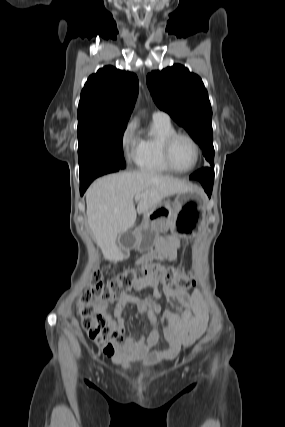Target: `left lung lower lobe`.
Returning <instances> with one entry per match:
<instances>
[{
  "instance_id": "0a47b994",
  "label": "left lung lower lobe",
  "mask_w": 285,
  "mask_h": 427,
  "mask_svg": "<svg viewBox=\"0 0 285 427\" xmlns=\"http://www.w3.org/2000/svg\"><path fill=\"white\" fill-rule=\"evenodd\" d=\"M212 168H202L192 175H190L189 179L191 180H199L204 187V190L211 196L213 181H214V164H211Z\"/></svg>"
}]
</instances>
